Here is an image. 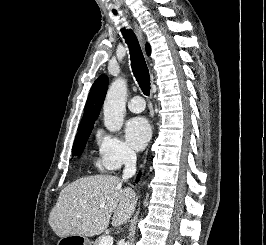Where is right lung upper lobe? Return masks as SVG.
<instances>
[{
    "mask_svg": "<svg viewBox=\"0 0 266 245\" xmlns=\"http://www.w3.org/2000/svg\"><path fill=\"white\" fill-rule=\"evenodd\" d=\"M146 51L150 54V46L148 43L146 44ZM107 87L108 77L106 75L99 76L91 87L84 115L79 126L95 122L105 99Z\"/></svg>",
    "mask_w": 266,
    "mask_h": 245,
    "instance_id": "cb5924a9",
    "label": "right lung upper lobe"
}]
</instances>
